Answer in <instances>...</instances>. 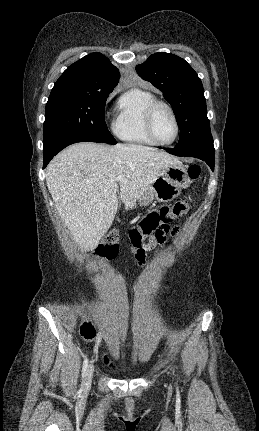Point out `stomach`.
Wrapping results in <instances>:
<instances>
[{"mask_svg": "<svg viewBox=\"0 0 259 431\" xmlns=\"http://www.w3.org/2000/svg\"><path fill=\"white\" fill-rule=\"evenodd\" d=\"M190 183L186 167L182 163L171 165L150 185L140 199L125 206V208L132 210L138 205H149L153 200L171 201L178 197L181 191L187 188Z\"/></svg>", "mask_w": 259, "mask_h": 431, "instance_id": "obj_1", "label": "stomach"}]
</instances>
